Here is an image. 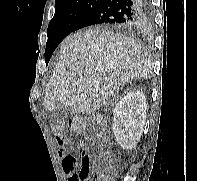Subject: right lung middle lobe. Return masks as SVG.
I'll list each match as a JSON object with an SVG mask.
<instances>
[{
    "mask_svg": "<svg viewBox=\"0 0 197 181\" xmlns=\"http://www.w3.org/2000/svg\"><path fill=\"white\" fill-rule=\"evenodd\" d=\"M94 6L93 4H83L74 8L55 12L47 30L48 40L45 49L46 64H48L59 43L74 31L81 17Z\"/></svg>",
    "mask_w": 197,
    "mask_h": 181,
    "instance_id": "dd1d6c3e",
    "label": "right lung middle lobe"
}]
</instances>
